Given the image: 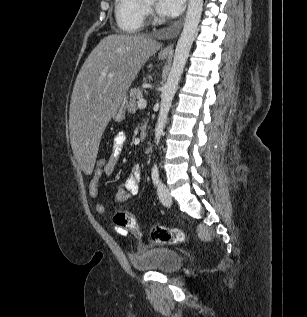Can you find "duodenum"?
<instances>
[{
    "mask_svg": "<svg viewBox=\"0 0 307 317\" xmlns=\"http://www.w3.org/2000/svg\"><path fill=\"white\" fill-rule=\"evenodd\" d=\"M146 135H147V128L146 126H143L140 131V138L145 139Z\"/></svg>",
    "mask_w": 307,
    "mask_h": 317,
    "instance_id": "410a0bca",
    "label": "duodenum"
}]
</instances>
